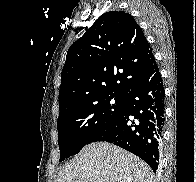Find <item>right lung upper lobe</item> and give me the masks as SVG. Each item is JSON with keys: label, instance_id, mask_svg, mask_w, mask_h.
Returning a JSON list of instances; mask_svg holds the SVG:
<instances>
[{"label": "right lung upper lobe", "instance_id": "1", "mask_svg": "<svg viewBox=\"0 0 196 182\" xmlns=\"http://www.w3.org/2000/svg\"><path fill=\"white\" fill-rule=\"evenodd\" d=\"M154 63L150 44L130 14H102L67 52L61 73L60 112L101 96L126 97Z\"/></svg>", "mask_w": 196, "mask_h": 182}]
</instances>
